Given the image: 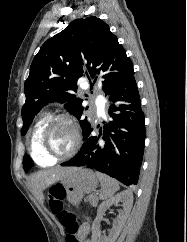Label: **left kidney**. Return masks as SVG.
Here are the masks:
<instances>
[{
	"label": "left kidney",
	"instance_id": "5707ae66",
	"mask_svg": "<svg viewBox=\"0 0 187 242\" xmlns=\"http://www.w3.org/2000/svg\"><path fill=\"white\" fill-rule=\"evenodd\" d=\"M122 202L123 209L119 212L117 218L113 221V227L109 236H102L100 230V222L106 210L114 205ZM133 204V193L131 191H123L107 201L103 202L97 210V217L92 225V242H115L118 238L123 225L130 213Z\"/></svg>",
	"mask_w": 187,
	"mask_h": 242
}]
</instances>
